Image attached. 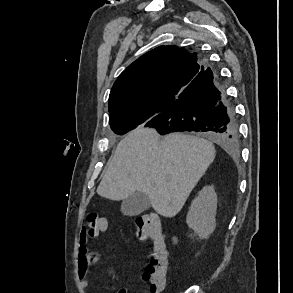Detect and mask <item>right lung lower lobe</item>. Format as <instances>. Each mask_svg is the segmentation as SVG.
Here are the masks:
<instances>
[{
  "mask_svg": "<svg viewBox=\"0 0 293 293\" xmlns=\"http://www.w3.org/2000/svg\"><path fill=\"white\" fill-rule=\"evenodd\" d=\"M145 126L157 129L160 134L205 132L229 146L238 140L234 108L219 87L217 73L210 67L200 72L167 110Z\"/></svg>",
  "mask_w": 293,
  "mask_h": 293,
  "instance_id": "obj_1",
  "label": "right lung lower lobe"
}]
</instances>
